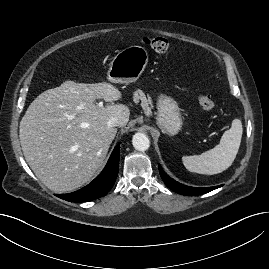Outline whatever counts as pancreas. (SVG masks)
Returning a JSON list of instances; mask_svg holds the SVG:
<instances>
[{"instance_id":"1","label":"pancreas","mask_w":269,"mask_h":269,"mask_svg":"<svg viewBox=\"0 0 269 269\" xmlns=\"http://www.w3.org/2000/svg\"><path fill=\"white\" fill-rule=\"evenodd\" d=\"M133 99L135 103H138L141 101L142 106L148 111L151 112V109L153 108L152 99L149 95H145V93L142 90H137L133 94Z\"/></svg>"}]
</instances>
